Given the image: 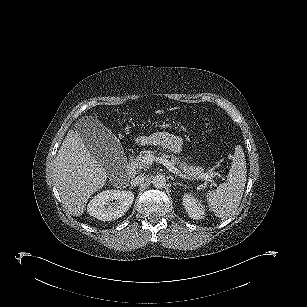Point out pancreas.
I'll return each mask as SVG.
<instances>
[{
  "label": "pancreas",
  "instance_id": "cf45deb5",
  "mask_svg": "<svg viewBox=\"0 0 307 307\" xmlns=\"http://www.w3.org/2000/svg\"><path fill=\"white\" fill-rule=\"evenodd\" d=\"M148 154H153L152 151H144L137 156L135 162L136 166L139 169H145L147 167V164L143 161L144 157ZM164 158L170 159V162L172 165L177 166L182 172H184L188 176H199L200 174H203L204 170L202 167H197L193 165H189L185 161H181L178 157L174 155H163Z\"/></svg>",
  "mask_w": 307,
  "mask_h": 307
}]
</instances>
